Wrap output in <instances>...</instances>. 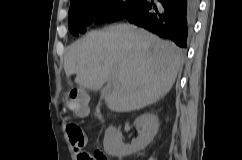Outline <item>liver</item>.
Returning a JSON list of instances; mask_svg holds the SVG:
<instances>
[{
  "mask_svg": "<svg viewBox=\"0 0 242 160\" xmlns=\"http://www.w3.org/2000/svg\"><path fill=\"white\" fill-rule=\"evenodd\" d=\"M182 66V50L173 42L130 24L91 31L64 57L65 73L75 74L78 85L97 91L112 82L104 98L115 112L139 110L163 98Z\"/></svg>",
  "mask_w": 242,
  "mask_h": 160,
  "instance_id": "obj_1",
  "label": "liver"
}]
</instances>
